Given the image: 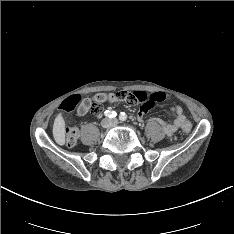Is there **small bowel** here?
Masks as SVG:
<instances>
[{"label": "small bowel", "mask_w": 234, "mask_h": 234, "mask_svg": "<svg viewBox=\"0 0 234 234\" xmlns=\"http://www.w3.org/2000/svg\"><path fill=\"white\" fill-rule=\"evenodd\" d=\"M149 109L141 107L137 113V118L140 121L145 119V114ZM172 120L161 121L158 118H151L150 121L160 123L168 136H171L178 128L182 127L186 123V118L183 110L180 106H174L171 108Z\"/></svg>", "instance_id": "c3829d8e"}]
</instances>
